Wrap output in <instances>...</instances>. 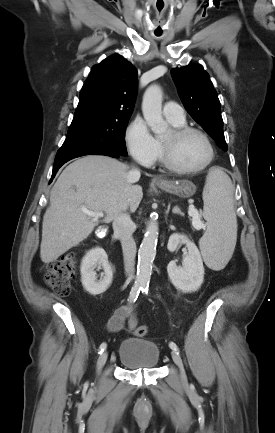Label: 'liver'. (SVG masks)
I'll return each mask as SVG.
<instances>
[{
	"instance_id": "obj_1",
	"label": "liver",
	"mask_w": 275,
	"mask_h": 433,
	"mask_svg": "<svg viewBox=\"0 0 275 433\" xmlns=\"http://www.w3.org/2000/svg\"><path fill=\"white\" fill-rule=\"evenodd\" d=\"M130 172L126 164L102 155L79 158L63 170L43 217L42 262H54L91 234L99 220L82 209L104 212V223L127 209L136 211L143 192Z\"/></svg>"
}]
</instances>
